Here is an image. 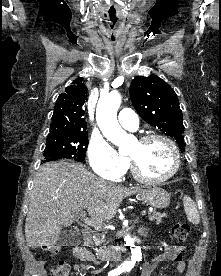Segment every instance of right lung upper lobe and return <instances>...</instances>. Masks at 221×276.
I'll return each instance as SVG.
<instances>
[{
	"label": "right lung upper lobe",
	"mask_w": 221,
	"mask_h": 276,
	"mask_svg": "<svg viewBox=\"0 0 221 276\" xmlns=\"http://www.w3.org/2000/svg\"><path fill=\"white\" fill-rule=\"evenodd\" d=\"M82 81L83 78L74 80L57 98L51 131L47 137L87 133L86 120L83 118L87 87Z\"/></svg>",
	"instance_id": "obj_1"
}]
</instances>
